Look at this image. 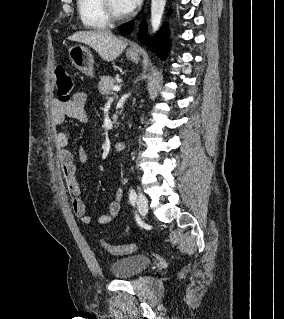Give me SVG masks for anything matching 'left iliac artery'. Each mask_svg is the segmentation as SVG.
Returning <instances> with one entry per match:
<instances>
[{"label":"left iliac artery","instance_id":"obj_1","mask_svg":"<svg viewBox=\"0 0 284 319\" xmlns=\"http://www.w3.org/2000/svg\"><path fill=\"white\" fill-rule=\"evenodd\" d=\"M136 198H137V194L136 192L134 191V189H130L129 190V201L131 204H134L136 202Z\"/></svg>","mask_w":284,"mask_h":319}]
</instances>
